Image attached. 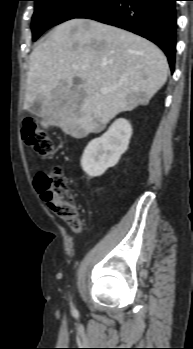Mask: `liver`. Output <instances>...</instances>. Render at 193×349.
<instances>
[{"instance_id":"1","label":"liver","mask_w":193,"mask_h":349,"mask_svg":"<svg viewBox=\"0 0 193 349\" xmlns=\"http://www.w3.org/2000/svg\"><path fill=\"white\" fill-rule=\"evenodd\" d=\"M168 73L166 56L147 39L97 21L72 19L32 51L24 109L38 100L43 128L56 126L84 138L104 130L117 114L147 105Z\"/></svg>"}]
</instances>
